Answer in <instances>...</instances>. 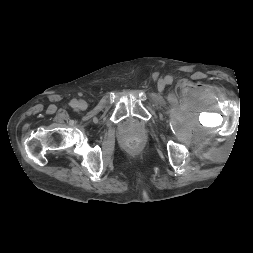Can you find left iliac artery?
<instances>
[{
    "mask_svg": "<svg viewBox=\"0 0 253 253\" xmlns=\"http://www.w3.org/2000/svg\"><path fill=\"white\" fill-rule=\"evenodd\" d=\"M171 82V80L170 79H167V83H170Z\"/></svg>",
    "mask_w": 253,
    "mask_h": 253,
    "instance_id": "left-iliac-artery-1",
    "label": "left iliac artery"
}]
</instances>
